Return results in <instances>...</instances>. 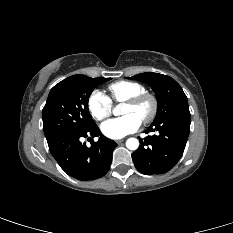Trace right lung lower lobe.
<instances>
[{"label":"right lung lower lobe","instance_id":"98d812e1","mask_svg":"<svg viewBox=\"0 0 233 233\" xmlns=\"http://www.w3.org/2000/svg\"><path fill=\"white\" fill-rule=\"evenodd\" d=\"M95 136H99V140H92L89 147L82 142L83 138ZM47 143L60 167L68 175L85 181L100 178L108 172L117 146L101 134L96 124L85 131L58 135Z\"/></svg>","mask_w":233,"mask_h":233}]
</instances>
